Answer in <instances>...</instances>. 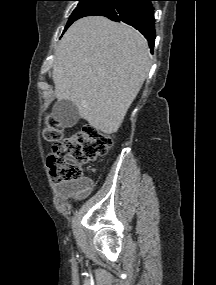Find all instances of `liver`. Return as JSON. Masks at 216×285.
<instances>
[{"instance_id": "obj_1", "label": "liver", "mask_w": 216, "mask_h": 285, "mask_svg": "<svg viewBox=\"0 0 216 285\" xmlns=\"http://www.w3.org/2000/svg\"><path fill=\"white\" fill-rule=\"evenodd\" d=\"M150 69L146 39L101 16L74 22L59 42L52 78L55 96L73 102L92 127L115 133Z\"/></svg>"}]
</instances>
